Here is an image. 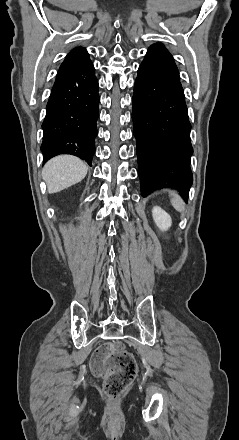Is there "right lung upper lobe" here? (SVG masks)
I'll list each match as a JSON object with an SVG mask.
<instances>
[{"instance_id":"cb5924a9","label":"right lung upper lobe","mask_w":239,"mask_h":440,"mask_svg":"<svg viewBox=\"0 0 239 440\" xmlns=\"http://www.w3.org/2000/svg\"><path fill=\"white\" fill-rule=\"evenodd\" d=\"M66 62H76V63H87L91 62L89 59V54L85 48L77 47L66 56L63 63Z\"/></svg>"}]
</instances>
